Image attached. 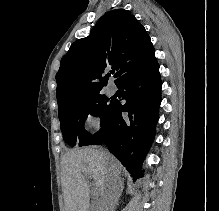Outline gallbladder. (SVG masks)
<instances>
[{"instance_id": "obj_1", "label": "gallbladder", "mask_w": 219, "mask_h": 211, "mask_svg": "<svg viewBox=\"0 0 219 211\" xmlns=\"http://www.w3.org/2000/svg\"><path fill=\"white\" fill-rule=\"evenodd\" d=\"M90 211H95L94 205H93V207H90Z\"/></svg>"}]
</instances>
